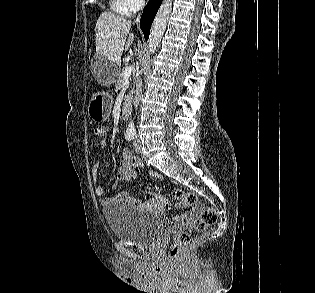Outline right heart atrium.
I'll return each instance as SVG.
<instances>
[{"label":"right heart atrium","instance_id":"right-heart-atrium-1","mask_svg":"<svg viewBox=\"0 0 315 293\" xmlns=\"http://www.w3.org/2000/svg\"><path fill=\"white\" fill-rule=\"evenodd\" d=\"M130 12H134L142 8L146 0H123Z\"/></svg>","mask_w":315,"mask_h":293}]
</instances>
